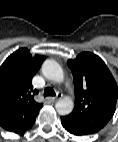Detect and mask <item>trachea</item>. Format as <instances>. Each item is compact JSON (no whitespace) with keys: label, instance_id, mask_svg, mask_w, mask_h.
Returning <instances> with one entry per match:
<instances>
[{"label":"trachea","instance_id":"3493384b","mask_svg":"<svg viewBox=\"0 0 118 142\" xmlns=\"http://www.w3.org/2000/svg\"><path fill=\"white\" fill-rule=\"evenodd\" d=\"M55 91L51 87H47L44 90V97L46 96H55Z\"/></svg>","mask_w":118,"mask_h":142}]
</instances>
